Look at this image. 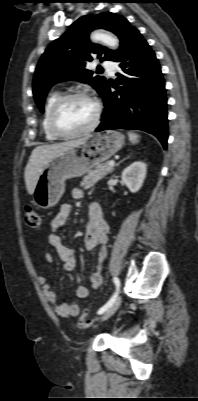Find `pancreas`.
Instances as JSON below:
<instances>
[{
    "mask_svg": "<svg viewBox=\"0 0 198 401\" xmlns=\"http://www.w3.org/2000/svg\"><path fill=\"white\" fill-rule=\"evenodd\" d=\"M113 169V166H109V163L101 164L96 167L94 173H89L84 176L80 183L84 189H89L93 187L99 180L103 179L107 174H109Z\"/></svg>",
    "mask_w": 198,
    "mask_h": 401,
    "instance_id": "cf45deb5",
    "label": "pancreas"
}]
</instances>
